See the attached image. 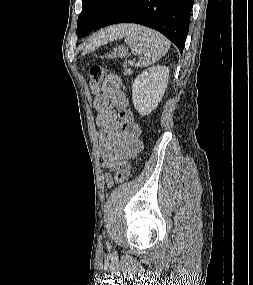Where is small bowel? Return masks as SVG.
Instances as JSON below:
<instances>
[{"label":"small bowel","mask_w":253,"mask_h":285,"mask_svg":"<svg viewBox=\"0 0 253 285\" xmlns=\"http://www.w3.org/2000/svg\"><path fill=\"white\" fill-rule=\"evenodd\" d=\"M94 107L98 111L96 124L100 129L103 167L112 170L120 159L136 155L142 147L140 128L127 109V98L121 90L118 76L109 75L105 79L101 93L94 100ZM104 179L110 187V175L106 174Z\"/></svg>","instance_id":"small-bowel-1"}]
</instances>
